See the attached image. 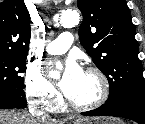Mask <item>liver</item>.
Masks as SVG:
<instances>
[{
    "label": "liver",
    "instance_id": "obj_1",
    "mask_svg": "<svg viewBox=\"0 0 145 124\" xmlns=\"http://www.w3.org/2000/svg\"><path fill=\"white\" fill-rule=\"evenodd\" d=\"M0 124H63V122L34 119L28 114L16 111H0Z\"/></svg>",
    "mask_w": 145,
    "mask_h": 124
}]
</instances>
